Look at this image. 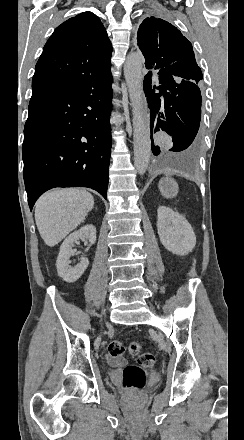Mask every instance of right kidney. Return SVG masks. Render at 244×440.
<instances>
[{
    "instance_id": "ca27d5eb",
    "label": "right kidney",
    "mask_w": 244,
    "mask_h": 440,
    "mask_svg": "<svg viewBox=\"0 0 244 440\" xmlns=\"http://www.w3.org/2000/svg\"><path fill=\"white\" fill-rule=\"evenodd\" d=\"M77 240H89L90 244H95V226H92V224L83 226L78 232H73L64 240L56 262L58 276L63 278L64 282H76V280H79L89 264L88 258H80L79 264L69 266L71 264L70 256H74L76 252V250H73V246Z\"/></svg>"
}]
</instances>
